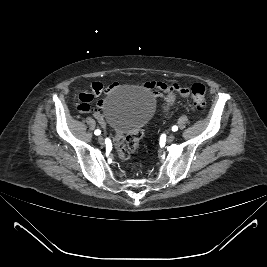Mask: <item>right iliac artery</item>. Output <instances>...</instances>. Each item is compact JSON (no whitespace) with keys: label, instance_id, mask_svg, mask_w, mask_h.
Instances as JSON below:
<instances>
[{"label":"right iliac artery","instance_id":"82829eb1","mask_svg":"<svg viewBox=\"0 0 267 267\" xmlns=\"http://www.w3.org/2000/svg\"><path fill=\"white\" fill-rule=\"evenodd\" d=\"M95 135H99L101 133V131L99 129L95 130Z\"/></svg>","mask_w":267,"mask_h":267}]
</instances>
